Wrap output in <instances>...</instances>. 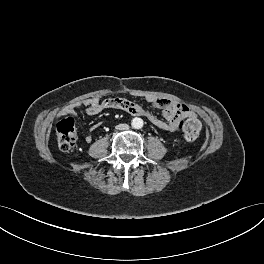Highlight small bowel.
Segmentation results:
<instances>
[{"label": "small bowel", "mask_w": 264, "mask_h": 264, "mask_svg": "<svg viewBox=\"0 0 264 264\" xmlns=\"http://www.w3.org/2000/svg\"><path fill=\"white\" fill-rule=\"evenodd\" d=\"M145 99L162 108L164 119L159 118L132 101L118 97L107 99L89 98L81 103L68 106L65 112L73 114L75 113V109L81 105L85 106V113L89 116L97 115L106 109H120L131 115H143L156 127L170 132L178 130L180 122L184 117H194L195 115L188 106L172 100L156 98L151 95L146 96ZM91 141L92 137L90 135L86 136V142L91 143Z\"/></svg>", "instance_id": "obj_1"}]
</instances>
